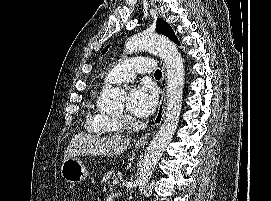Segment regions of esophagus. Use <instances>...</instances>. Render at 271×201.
Returning <instances> with one entry per match:
<instances>
[{"mask_svg":"<svg viewBox=\"0 0 271 201\" xmlns=\"http://www.w3.org/2000/svg\"><path fill=\"white\" fill-rule=\"evenodd\" d=\"M161 66H162V72H163L161 82H160L161 96H160L157 113L153 120L152 131L157 129L161 125L164 115H165L167 73H166V66L163 61H161ZM151 135H152V132L146 133L144 136H142L139 139V144L144 145L145 143H147Z\"/></svg>","mask_w":271,"mask_h":201,"instance_id":"1","label":"esophagus"}]
</instances>
